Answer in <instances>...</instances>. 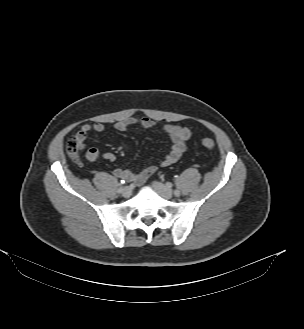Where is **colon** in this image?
<instances>
[{
  "mask_svg": "<svg viewBox=\"0 0 304 329\" xmlns=\"http://www.w3.org/2000/svg\"><path fill=\"white\" fill-rule=\"evenodd\" d=\"M201 144L208 150H213L215 147V141L211 137H203L201 140ZM81 149L82 147L75 136H72L68 139L66 143V152L72 160L76 162L79 161V154Z\"/></svg>",
  "mask_w": 304,
  "mask_h": 329,
  "instance_id": "1",
  "label": "colon"
}]
</instances>
